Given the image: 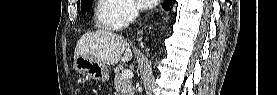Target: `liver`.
I'll return each instance as SVG.
<instances>
[{"label":"liver","instance_id":"6515ba94","mask_svg":"<svg viewBox=\"0 0 277 95\" xmlns=\"http://www.w3.org/2000/svg\"><path fill=\"white\" fill-rule=\"evenodd\" d=\"M81 55L92 56L100 62L115 65L120 60L132 59V50L127 40L110 31L99 30L84 34L76 44L74 59Z\"/></svg>","mask_w":277,"mask_h":95}]
</instances>
